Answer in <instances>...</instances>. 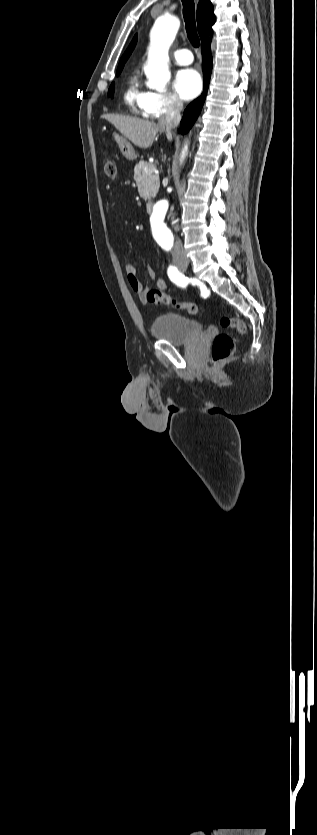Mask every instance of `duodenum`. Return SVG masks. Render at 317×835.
Listing matches in <instances>:
<instances>
[{
    "label": "duodenum",
    "instance_id": "410a0bca",
    "mask_svg": "<svg viewBox=\"0 0 317 835\" xmlns=\"http://www.w3.org/2000/svg\"><path fill=\"white\" fill-rule=\"evenodd\" d=\"M153 206H154V202H153V201H148V202L146 203V210H147V212H152V210H153Z\"/></svg>",
    "mask_w": 317,
    "mask_h": 835
}]
</instances>
